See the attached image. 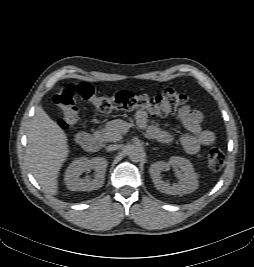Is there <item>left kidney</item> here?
Segmentation results:
<instances>
[{
  "mask_svg": "<svg viewBox=\"0 0 254 267\" xmlns=\"http://www.w3.org/2000/svg\"><path fill=\"white\" fill-rule=\"evenodd\" d=\"M163 161H157L151 164L149 172L152 181L157 190L169 195L189 194L198 187V175L195 173L191 162L183 157L173 156L170 158L168 165L176 169L179 182L169 185L162 180L161 172L166 167Z\"/></svg>",
  "mask_w": 254,
  "mask_h": 267,
  "instance_id": "left-kidney-1",
  "label": "left kidney"
}]
</instances>
